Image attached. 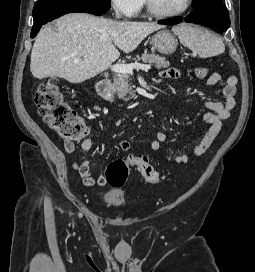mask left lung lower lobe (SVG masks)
<instances>
[{
	"label": "left lung lower lobe",
	"instance_id": "1",
	"mask_svg": "<svg viewBox=\"0 0 255 272\" xmlns=\"http://www.w3.org/2000/svg\"><path fill=\"white\" fill-rule=\"evenodd\" d=\"M182 19H170L160 21V24L174 25L178 24ZM188 23H198L210 27H216L221 33L226 31L230 26V19L227 8L219 1H209L199 7L194 8L185 19Z\"/></svg>",
	"mask_w": 255,
	"mask_h": 272
}]
</instances>
